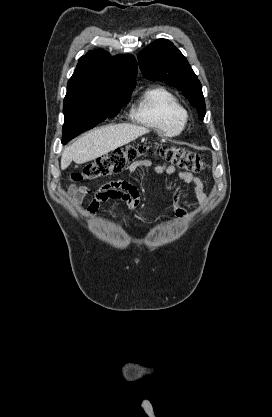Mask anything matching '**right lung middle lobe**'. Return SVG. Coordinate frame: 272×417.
<instances>
[{"instance_id":"1","label":"right lung middle lobe","mask_w":272,"mask_h":417,"mask_svg":"<svg viewBox=\"0 0 272 417\" xmlns=\"http://www.w3.org/2000/svg\"><path fill=\"white\" fill-rule=\"evenodd\" d=\"M132 90L94 94L87 98L64 101L62 143L115 116L125 105Z\"/></svg>"}]
</instances>
